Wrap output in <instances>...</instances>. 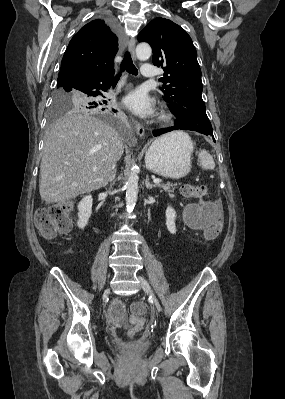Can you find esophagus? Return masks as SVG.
I'll return each mask as SVG.
<instances>
[{"label":"esophagus","mask_w":285,"mask_h":399,"mask_svg":"<svg viewBox=\"0 0 285 399\" xmlns=\"http://www.w3.org/2000/svg\"><path fill=\"white\" fill-rule=\"evenodd\" d=\"M135 44L136 40L134 37H131L130 40L128 41V49L133 57V59L136 58L135 56ZM136 133L139 137H143L145 134V129L140 123H136L135 125Z\"/></svg>","instance_id":"esophagus-1"}]
</instances>
